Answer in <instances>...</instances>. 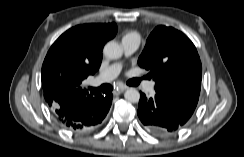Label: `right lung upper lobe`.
Listing matches in <instances>:
<instances>
[{
  "label": "right lung upper lobe",
  "mask_w": 244,
  "mask_h": 157,
  "mask_svg": "<svg viewBox=\"0 0 244 157\" xmlns=\"http://www.w3.org/2000/svg\"><path fill=\"white\" fill-rule=\"evenodd\" d=\"M116 33L115 23L84 24L67 30L54 42L42 66V86L55 113L66 115L102 97L89 95L82 82L99 69L104 44Z\"/></svg>",
  "instance_id": "cb5924a9"
}]
</instances>
